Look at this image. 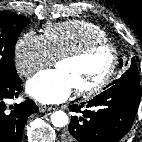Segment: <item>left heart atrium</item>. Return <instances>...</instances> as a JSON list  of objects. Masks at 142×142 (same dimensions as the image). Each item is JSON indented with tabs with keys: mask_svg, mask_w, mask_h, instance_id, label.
<instances>
[{
	"mask_svg": "<svg viewBox=\"0 0 142 142\" xmlns=\"http://www.w3.org/2000/svg\"><path fill=\"white\" fill-rule=\"evenodd\" d=\"M28 94L43 104L66 100L74 87L66 73L59 69L43 70L27 82Z\"/></svg>",
	"mask_w": 142,
	"mask_h": 142,
	"instance_id": "1",
	"label": "left heart atrium"
}]
</instances>
